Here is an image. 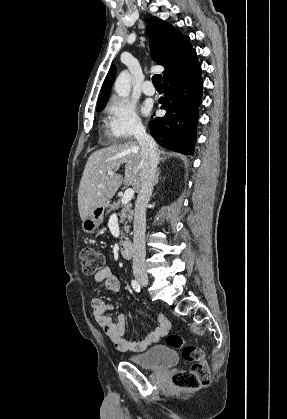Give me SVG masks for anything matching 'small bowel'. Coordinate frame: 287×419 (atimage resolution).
<instances>
[{
	"label": "small bowel",
	"mask_w": 287,
	"mask_h": 419,
	"mask_svg": "<svg viewBox=\"0 0 287 419\" xmlns=\"http://www.w3.org/2000/svg\"><path fill=\"white\" fill-rule=\"evenodd\" d=\"M94 282L97 285H105L108 289L119 291V282L109 267L98 271L94 276ZM112 304L106 303L100 297H93L91 300V309L96 323L103 329L116 349L120 351L142 352L149 346L165 337L170 329L171 323L164 313L157 315L159 326L143 339H126L125 333L127 324L125 316L121 313L115 317L108 316L107 311L113 310Z\"/></svg>",
	"instance_id": "obj_1"
}]
</instances>
